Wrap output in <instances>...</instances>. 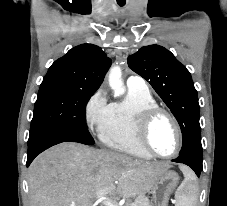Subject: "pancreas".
Listing matches in <instances>:
<instances>
[{"label": "pancreas", "instance_id": "1", "mask_svg": "<svg viewBox=\"0 0 227 206\" xmlns=\"http://www.w3.org/2000/svg\"><path fill=\"white\" fill-rule=\"evenodd\" d=\"M126 206H152L150 200L144 195H138L132 204Z\"/></svg>", "mask_w": 227, "mask_h": 206}]
</instances>
